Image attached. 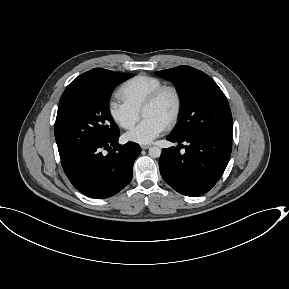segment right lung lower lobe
<instances>
[{"label": "right lung lower lobe", "instance_id": "right-lung-lower-lobe-1", "mask_svg": "<svg viewBox=\"0 0 289 289\" xmlns=\"http://www.w3.org/2000/svg\"><path fill=\"white\" fill-rule=\"evenodd\" d=\"M119 133L111 139L75 152L61 159L62 167L73 186L91 198H108L128 185L140 146L118 144ZM103 150H108L105 155Z\"/></svg>", "mask_w": 289, "mask_h": 289}]
</instances>
